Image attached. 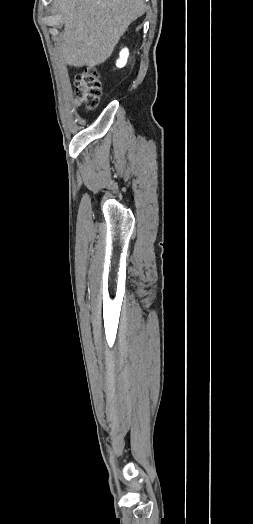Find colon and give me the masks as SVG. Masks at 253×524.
I'll return each mask as SVG.
<instances>
[{"label": "colon", "instance_id": "1", "mask_svg": "<svg viewBox=\"0 0 253 524\" xmlns=\"http://www.w3.org/2000/svg\"><path fill=\"white\" fill-rule=\"evenodd\" d=\"M102 92L99 72L96 67L83 68L75 77V95L77 102L88 110L95 109Z\"/></svg>", "mask_w": 253, "mask_h": 524}]
</instances>
